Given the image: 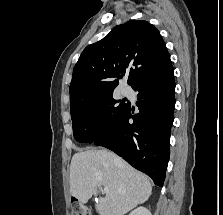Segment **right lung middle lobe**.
I'll return each instance as SVG.
<instances>
[{
	"label": "right lung middle lobe",
	"instance_id": "1",
	"mask_svg": "<svg viewBox=\"0 0 223 215\" xmlns=\"http://www.w3.org/2000/svg\"><path fill=\"white\" fill-rule=\"evenodd\" d=\"M111 95L71 108L76 141L93 143L107 135L122 119L129 103H119Z\"/></svg>",
	"mask_w": 223,
	"mask_h": 215
}]
</instances>
